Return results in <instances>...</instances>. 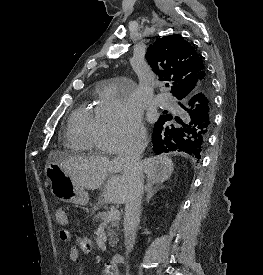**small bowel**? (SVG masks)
<instances>
[{"mask_svg":"<svg viewBox=\"0 0 263 275\" xmlns=\"http://www.w3.org/2000/svg\"><path fill=\"white\" fill-rule=\"evenodd\" d=\"M69 234V238L65 240L62 237V231L60 232V238L63 241H69L71 239V232L67 230ZM92 248V242L90 238L86 236H81L77 239V242L75 245H73L69 250V258L73 262H79L83 255L90 252ZM103 275H117V269L116 270H110L107 266L105 267V270L103 271Z\"/></svg>","mask_w":263,"mask_h":275,"instance_id":"1","label":"small bowel"}]
</instances>
